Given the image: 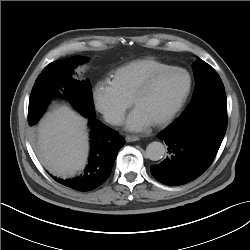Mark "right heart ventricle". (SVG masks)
Masks as SVG:
<instances>
[{
	"label": "right heart ventricle",
	"mask_w": 250,
	"mask_h": 250,
	"mask_svg": "<svg viewBox=\"0 0 250 250\" xmlns=\"http://www.w3.org/2000/svg\"><path fill=\"white\" fill-rule=\"evenodd\" d=\"M170 65L153 57L129 61L111 73V82L126 97L132 99L136 90L152 73Z\"/></svg>",
	"instance_id": "right-heart-ventricle-1"
}]
</instances>
